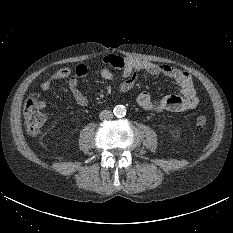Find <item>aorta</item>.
I'll use <instances>...</instances> for the list:
<instances>
[{
    "label": "aorta",
    "instance_id": "762f6f07",
    "mask_svg": "<svg viewBox=\"0 0 233 233\" xmlns=\"http://www.w3.org/2000/svg\"><path fill=\"white\" fill-rule=\"evenodd\" d=\"M113 112L115 116L123 117L126 115V108L123 105H117L115 106Z\"/></svg>",
    "mask_w": 233,
    "mask_h": 233
}]
</instances>
